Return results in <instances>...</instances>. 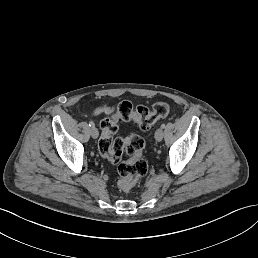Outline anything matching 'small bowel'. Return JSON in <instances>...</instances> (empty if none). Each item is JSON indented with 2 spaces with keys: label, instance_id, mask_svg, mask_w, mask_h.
Masks as SVG:
<instances>
[{
  "label": "small bowel",
  "instance_id": "small-bowel-1",
  "mask_svg": "<svg viewBox=\"0 0 258 258\" xmlns=\"http://www.w3.org/2000/svg\"><path fill=\"white\" fill-rule=\"evenodd\" d=\"M115 111V108L113 107H108V106H105V107H98L96 108L94 111H93V114L95 116L97 115H100V114H111Z\"/></svg>",
  "mask_w": 258,
  "mask_h": 258
}]
</instances>
